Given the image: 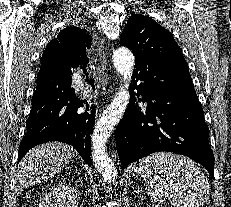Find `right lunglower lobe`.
<instances>
[{
	"mask_svg": "<svg viewBox=\"0 0 231 207\" xmlns=\"http://www.w3.org/2000/svg\"><path fill=\"white\" fill-rule=\"evenodd\" d=\"M80 33L78 27H69ZM86 31V30H85ZM86 64L79 66L85 71ZM71 69L59 65H42L37 76L36 90L32 96L33 107L27 119V133L23 137L18 162L34 146L49 141L72 145L84 161L91 166L90 134L95 124L96 107L93 99L79 97L71 88ZM85 81L94 90L93 80Z\"/></svg>",
	"mask_w": 231,
	"mask_h": 207,
	"instance_id": "1",
	"label": "right lung lower lobe"
}]
</instances>
